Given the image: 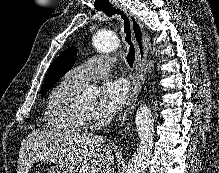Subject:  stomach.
Listing matches in <instances>:
<instances>
[{"instance_id": "stomach-1", "label": "stomach", "mask_w": 219, "mask_h": 173, "mask_svg": "<svg viewBox=\"0 0 219 173\" xmlns=\"http://www.w3.org/2000/svg\"><path fill=\"white\" fill-rule=\"evenodd\" d=\"M48 173H67V171L60 167L57 166L56 164L50 163L49 168L47 169Z\"/></svg>"}]
</instances>
